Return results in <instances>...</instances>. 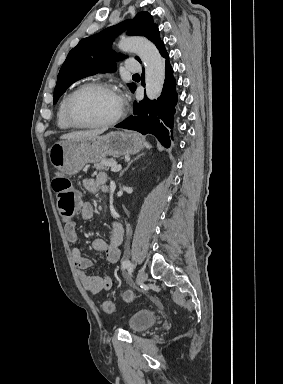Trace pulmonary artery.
Here are the masks:
<instances>
[{
  "label": "pulmonary artery",
  "mask_w": 283,
  "mask_h": 384,
  "mask_svg": "<svg viewBox=\"0 0 283 384\" xmlns=\"http://www.w3.org/2000/svg\"><path fill=\"white\" fill-rule=\"evenodd\" d=\"M126 71H139L140 65L138 61H127L125 65Z\"/></svg>",
  "instance_id": "1"
}]
</instances>
